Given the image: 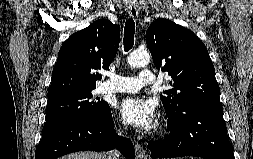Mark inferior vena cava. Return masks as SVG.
<instances>
[{
	"instance_id": "inferior-vena-cava-1",
	"label": "inferior vena cava",
	"mask_w": 253,
	"mask_h": 159,
	"mask_svg": "<svg viewBox=\"0 0 253 159\" xmlns=\"http://www.w3.org/2000/svg\"><path fill=\"white\" fill-rule=\"evenodd\" d=\"M120 153L117 150H113L107 154V159H120Z\"/></svg>"
}]
</instances>
